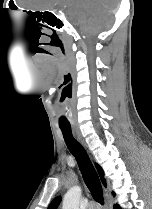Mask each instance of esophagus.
Wrapping results in <instances>:
<instances>
[{
  "label": "esophagus",
  "mask_w": 152,
  "mask_h": 209,
  "mask_svg": "<svg viewBox=\"0 0 152 209\" xmlns=\"http://www.w3.org/2000/svg\"><path fill=\"white\" fill-rule=\"evenodd\" d=\"M77 136H78L79 140H81V142L83 143V141H82V139H81V136H80V134L78 133V131H77Z\"/></svg>",
  "instance_id": "34e87169"
}]
</instances>
